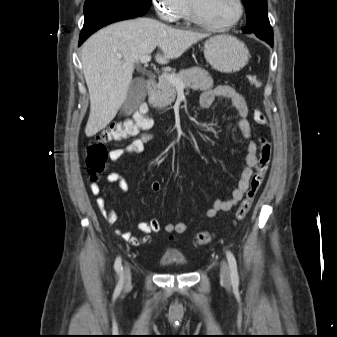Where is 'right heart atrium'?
<instances>
[{"instance_id":"right-heart-atrium-1","label":"right heart atrium","mask_w":337,"mask_h":337,"mask_svg":"<svg viewBox=\"0 0 337 337\" xmlns=\"http://www.w3.org/2000/svg\"><path fill=\"white\" fill-rule=\"evenodd\" d=\"M159 17L166 22L179 20L185 0H153Z\"/></svg>"}]
</instances>
